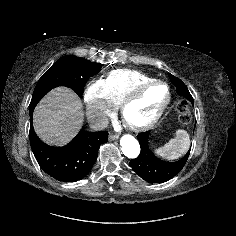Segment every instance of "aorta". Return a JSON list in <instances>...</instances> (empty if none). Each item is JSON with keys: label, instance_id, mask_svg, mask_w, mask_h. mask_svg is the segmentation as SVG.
<instances>
[{"label": "aorta", "instance_id": "aorta-1", "mask_svg": "<svg viewBox=\"0 0 236 236\" xmlns=\"http://www.w3.org/2000/svg\"><path fill=\"white\" fill-rule=\"evenodd\" d=\"M122 152L128 158H136L140 153V145L135 137L132 135H123L120 139Z\"/></svg>", "mask_w": 236, "mask_h": 236}]
</instances>
